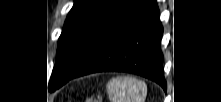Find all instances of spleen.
<instances>
[{
	"mask_svg": "<svg viewBox=\"0 0 221 102\" xmlns=\"http://www.w3.org/2000/svg\"><path fill=\"white\" fill-rule=\"evenodd\" d=\"M106 88L111 102H144L147 95L146 84L129 76L109 80Z\"/></svg>",
	"mask_w": 221,
	"mask_h": 102,
	"instance_id": "1",
	"label": "spleen"
}]
</instances>
